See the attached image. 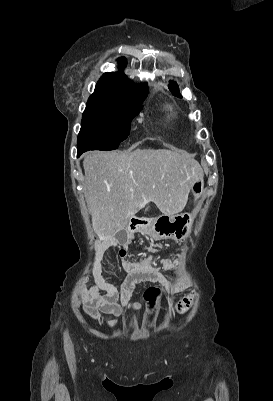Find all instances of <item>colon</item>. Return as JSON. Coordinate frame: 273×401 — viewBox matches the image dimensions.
Returning <instances> with one entry per match:
<instances>
[{
  "mask_svg": "<svg viewBox=\"0 0 273 401\" xmlns=\"http://www.w3.org/2000/svg\"><path fill=\"white\" fill-rule=\"evenodd\" d=\"M151 290L155 293V296L153 299H149L146 303V312L150 316L155 314L157 303L161 296L160 290L157 286H151ZM81 295H93V290H81ZM146 295L149 296L150 292L146 293Z\"/></svg>",
  "mask_w": 273,
  "mask_h": 401,
  "instance_id": "colon-1",
  "label": "colon"
}]
</instances>
